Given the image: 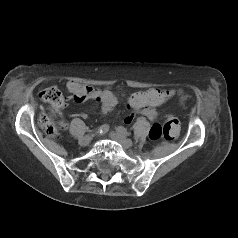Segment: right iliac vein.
<instances>
[{"label":"right iliac vein","instance_id":"63e3f726","mask_svg":"<svg viewBox=\"0 0 238 238\" xmlns=\"http://www.w3.org/2000/svg\"><path fill=\"white\" fill-rule=\"evenodd\" d=\"M92 140H93V136L92 135H87L81 140V144L83 146H88L91 143Z\"/></svg>","mask_w":238,"mask_h":238}]
</instances>
